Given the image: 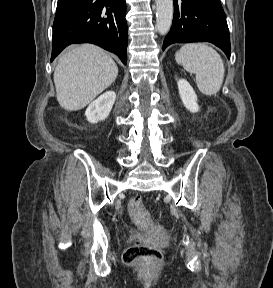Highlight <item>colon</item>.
<instances>
[{
	"mask_svg": "<svg viewBox=\"0 0 273 288\" xmlns=\"http://www.w3.org/2000/svg\"><path fill=\"white\" fill-rule=\"evenodd\" d=\"M129 213L134 222L140 228H149L153 226L154 220L144 209L143 202L139 197H134L128 204ZM162 258L159 249L152 247L142 240H136L124 253V262L130 264L136 260H143L148 265L158 263Z\"/></svg>",
	"mask_w": 273,
	"mask_h": 288,
	"instance_id": "5ec220e1",
	"label": "colon"
}]
</instances>
